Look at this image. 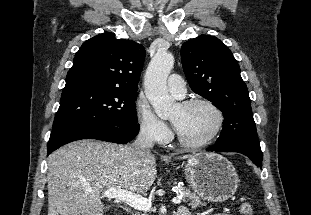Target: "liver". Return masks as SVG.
<instances>
[{
  "label": "liver",
  "mask_w": 311,
  "mask_h": 215,
  "mask_svg": "<svg viewBox=\"0 0 311 215\" xmlns=\"http://www.w3.org/2000/svg\"><path fill=\"white\" fill-rule=\"evenodd\" d=\"M133 149L82 140L53 152L48 158V215H103L101 192L112 188L145 194L157 175L155 155Z\"/></svg>",
  "instance_id": "6515ba94"
}]
</instances>
